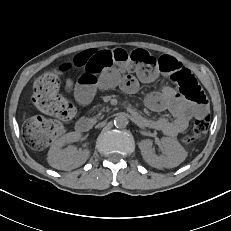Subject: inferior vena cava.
I'll return each instance as SVG.
<instances>
[{
  "mask_svg": "<svg viewBox=\"0 0 231 231\" xmlns=\"http://www.w3.org/2000/svg\"><path fill=\"white\" fill-rule=\"evenodd\" d=\"M103 125H104V122H103V121H99V122L95 125V128H96V129H99V128H101Z\"/></svg>",
  "mask_w": 231,
  "mask_h": 231,
  "instance_id": "inferior-vena-cava-1",
  "label": "inferior vena cava"
}]
</instances>
